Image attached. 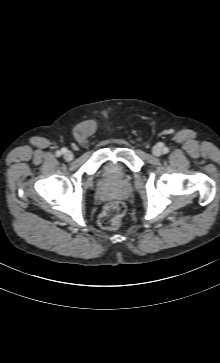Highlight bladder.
I'll return each mask as SVG.
<instances>
[{"label":"bladder","mask_w":220,"mask_h":363,"mask_svg":"<svg viewBox=\"0 0 220 363\" xmlns=\"http://www.w3.org/2000/svg\"><path fill=\"white\" fill-rule=\"evenodd\" d=\"M116 166H117L116 164L110 163L106 169V173L107 174L113 173Z\"/></svg>","instance_id":"obj_1"}]
</instances>
